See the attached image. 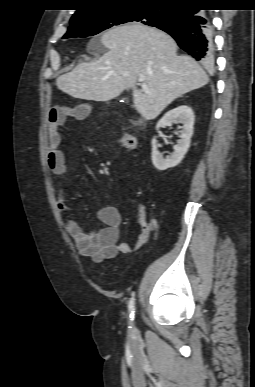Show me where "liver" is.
Wrapping results in <instances>:
<instances>
[{
	"instance_id": "obj_1",
	"label": "liver",
	"mask_w": 255,
	"mask_h": 387,
	"mask_svg": "<svg viewBox=\"0 0 255 387\" xmlns=\"http://www.w3.org/2000/svg\"><path fill=\"white\" fill-rule=\"evenodd\" d=\"M100 42L108 52L59 76L58 89L93 101H108L132 89L136 111L151 120L175 99L209 81L199 64L190 56L178 55L175 41L159 29L127 24L106 31ZM140 77L149 93L137 87Z\"/></svg>"
}]
</instances>
